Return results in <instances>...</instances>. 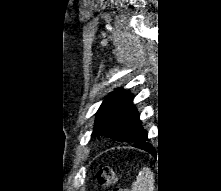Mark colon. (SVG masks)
Masks as SVG:
<instances>
[{"label":"colon","instance_id":"1","mask_svg":"<svg viewBox=\"0 0 221 191\" xmlns=\"http://www.w3.org/2000/svg\"><path fill=\"white\" fill-rule=\"evenodd\" d=\"M97 179L100 185L109 186L115 183V181L117 180V175L112 167L104 166L99 170L97 174ZM114 191H127V190L116 188L114 189Z\"/></svg>","mask_w":221,"mask_h":191}]
</instances>
